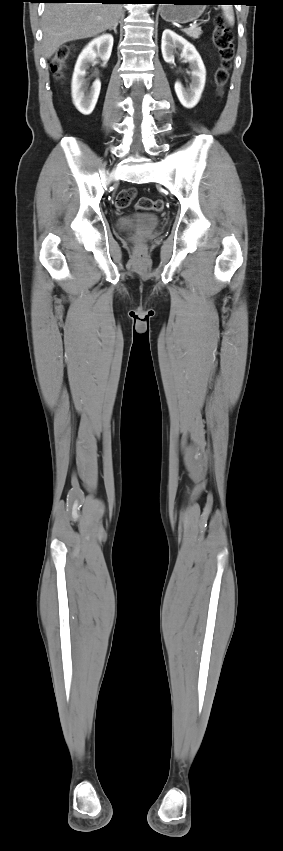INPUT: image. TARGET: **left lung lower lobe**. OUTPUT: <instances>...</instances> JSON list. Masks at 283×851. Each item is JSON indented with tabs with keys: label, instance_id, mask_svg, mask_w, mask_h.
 I'll return each mask as SVG.
<instances>
[{
	"label": "left lung lower lobe",
	"instance_id": "0a47b994",
	"mask_svg": "<svg viewBox=\"0 0 283 851\" xmlns=\"http://www.w3.org/2000/svg\"><path fill=\"white\" fill-rule=\"evenodd\" d=\"M145 1L150 2V3H155V4H162V3H167L169 0H145ZM211 1L214 2V3H232V2H237L238 0H211Z\"/></svg>",
	"mask_w": 283,
	"mask_h": 851
}]
</instances>
